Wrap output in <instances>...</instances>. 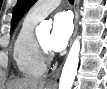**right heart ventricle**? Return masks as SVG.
Here are the masks:
<instances>
[{"instance_id":"1","label":"right heart ventricle","mask_w":107,"mask_h":89,"mask_svg":"<svg viewBox=\"0 0 107 89\" xmlns=\"http://www.w3.org/2000/svg\"><path fill=\"white\" fill-rule=\"evenodd\" d=\"M39 21L27 14L14 41L13 59L18 71L26 77H40L46 71L35 42L34 30Z\"/></svg>"}]
</instances>
